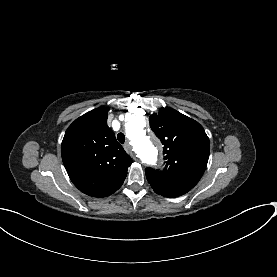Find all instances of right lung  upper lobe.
<instances>
[{"instance_id": "cb5924a9", "label": "right lung upper lobe", "mask_w": 277, "mask_h": 277, "mask_svg": "<svg viewBox=\"0 0 277 277\" xmlns=\"http://www.w3.org/2000/svg\"><path fill=\"white\" fill-rule=\"evenodd\" d=\"M107 107L94 109L67 129L61 146L73 184L92 197H106L123 184L132 159L107 126Z\"/></svg>"}]
</instances>
